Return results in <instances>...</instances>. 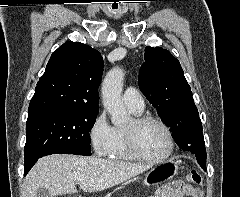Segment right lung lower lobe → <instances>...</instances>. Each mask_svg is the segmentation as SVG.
I'll return each mask as SVG.
<instances>
[{
  "label": "right lung lower lobe",
  "mask_w": 240,
  "mask_h": 197,
  "mask_svg": "<svg viewBox=\"0 0 240 197\" xmlns=\"http://www.w3.org/2000/svg\"><path fill=\"white\" fill-rule=\"evenodd\" d=\"M35 164V162H31L28 165H25L24 168V175H26L28 173V171L31 169V167Z\"/></svg>",
  "instance_id": "obj_1"
}]
</instances>
